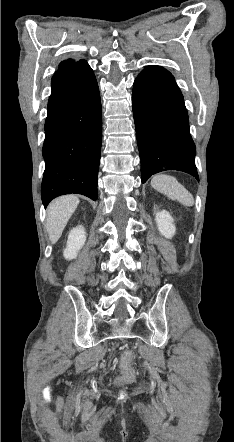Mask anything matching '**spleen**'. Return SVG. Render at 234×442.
I'll return each instance as SVG.
<instances>
[{"mask_svg": "<svg viewBox=\"0 0 234 442\" xmlns=\"http://www.w3.org/2000/svg\"><path fill=\"white\" fill-rule=\"evenodd\" d=\"M151 186L171 200H177L185 206H192L194 198L178 180L170 175L158 174L151 180Z\"/></svg>", "mask_w": 234, "mask_h": 442, "instance_id": "obj_1", "label": "spleen"}]
</instances>
